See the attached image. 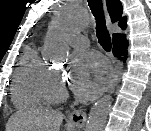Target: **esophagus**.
Returning a JSON list of instances; mask_svg holds the SVG:
<instances>
[{
	"mask_svg": "<svg viewBox=\"0 0 151 131\" xmlns=\"http://www.w3.org/2000/svg\"><path fill=\"white\" fill-rule=\"evenodd\" d=\"M106 22H107L108 28L110 29L111 26H112V23H111L110 17H109L107 12H106ZM122 70H123V63L121 61H117L116 65H115V69H114V77H113V80H112L111 84L108 87V92H113L114 91L116 85L120 81ZM69 120L73 125H75L76 127L81 128L86 123L87 114L82 109L74 110L71 113V115L69 117Z\"/></svg>",
	"mask_w": 151,
	"mask_h": 131,
	"instance_id": "obj_1",
	"label": "esophagus"
}]
</instances>
